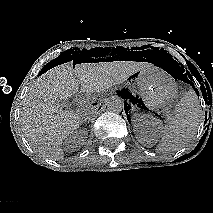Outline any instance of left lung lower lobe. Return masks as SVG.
<instances>
[{
    "instance_id": "0a47b994",
    "label": "left lung lower lobe",
    "mask_w": 213,
    "mask_h": 213,
    "mask_svg": "<svg viewBox=\"0 0 213 213\" xmlns=\"http://www.w3.org/2000/svg\"><path fill=\"white\" fill-rule=\"evenodd\" d=\"M196 93H197V92H196ZM117 94H118L119 96H121L123 99H127V98H128V95H129V92L126 91V90L124 89V90H122V91H118ZM198 95H199V93H198ZM125 103H126V101H125ZM125 103H124V106H125Z\"/></svg>"
}]
</instances>
